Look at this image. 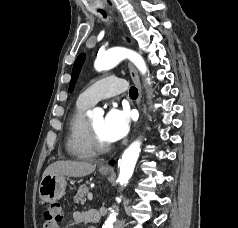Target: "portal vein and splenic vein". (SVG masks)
<instances>
[{
	"mask_svg": "<svg viewBox=\"0 0 238 228\" xmlns=\"http://www.w3.org/2000/svg\"><path fill=\"white\" fill-rule=\"evenodd\" d=\"M88 200L92 201L93 200V195L91 193L88 194Z\"/></svg>",
	"mask_w": 238,
	"mask_h": 228,
	"instance_id": "1",
	"label": "portal vein and splenic vein"
}]
</instances>
